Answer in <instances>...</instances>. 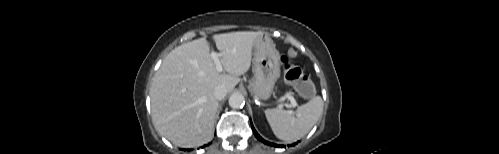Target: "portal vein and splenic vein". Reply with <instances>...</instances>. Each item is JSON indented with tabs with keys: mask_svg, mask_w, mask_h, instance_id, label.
<instances>
[{
	"mask_svg": "<svg viewBox=\"0 0 499 154\" xmlns=\"http://www.w3.org/2000/svg\"><path fill=\"white\" fill-rule=\"evenodd\" d=\"M221 55H222V53H217V52H212L211 53V57H212L215 65H216V69H217L218 72H222V70H223L222 63H221V61L219 59V56H221ZM286 97L291 101V104H286V106L287 107H293V108L296 107V103H295L294 98L292 96H286ZM279 101L280 102L283 101V98H281Z\"/></svg>",
	"mask_w": 499,
	"mask_h": 154,
	"instance_id": "1",
	"label": "portal vein and splenic vein"
}]
</instances>
